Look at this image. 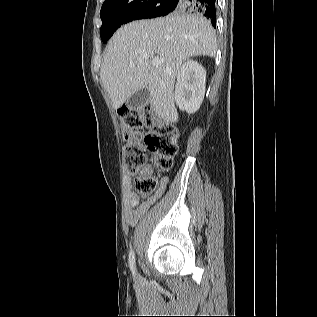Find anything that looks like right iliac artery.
<instances>
[{
    "instance_id": "82829eb1",
    "label": "right iliac artery",
    "mask_w": 317,
    "mask_h": 317,
    "mask_svg": "<svg viewBox=\"0 0 317 317\" xmlns=\"http://www.w3.org/2000/svg\"><path fill=\"white\" fill-rule=\"evenodd\" d=\"M129 266L130 269L132 271L133 276H136V268H135V253L134 251L131 249L130 253H129Z\"/></svg>"
}]
</instances>
